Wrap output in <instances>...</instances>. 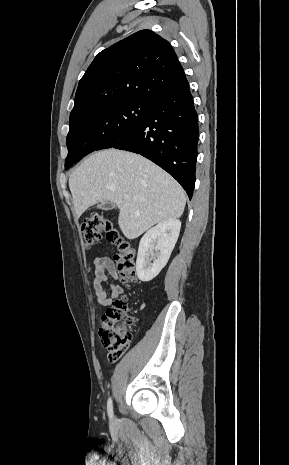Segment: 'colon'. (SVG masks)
I'll return each mask as SVG.
<instances>
[{"label":"colon","mask_w":289,"mask_h":465,"mask_svg":"<svg viewBox=\"0 0 289 465\" xmlns=\"http://www.w3.org/2000/svg\"><path fill=\"white\" fill-rule=\"evenodd\" d=\"M104 233L107 240L117 246V269L122 282L130 283L136 277V248L114 227L112 221L101 215L92 214L81 224L82 242L86 248L95 246ZM133 324L132 310L126 297L114 300L100 318L99 336L108 351L109 360L117 361L131 342L130 326Z\"/></svg>","instance_id":"1"}]
</instances>
